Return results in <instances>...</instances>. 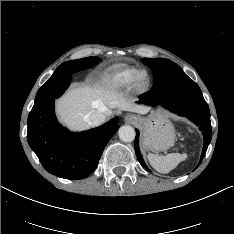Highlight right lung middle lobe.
<instances>
[{"mask_svg":"<svg viewBox=\"0 0 234 234\" xmlns=\"http://www.w3.org/2000/svg\"><path fill=\"white\" fill-rule=\"evenodd\" d=\"M100 62L99 57H86L77 60H70L62 63L56 71H65L70 73H75L76 71L84 70L90 68Z\"/></svg>","mask_w":234,"mask_h":234,"instance_id":"right-lung-middle-lobe-1","label":"right lung middle lobe"}]
</instances>
